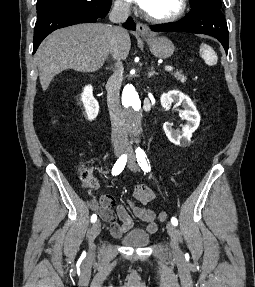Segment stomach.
Instances as JSON below:
<instances>
[{"mask_svg":"<svg viewBox=\"0 0 255 287\" xmlns=\"http://www.w3.org/2000/svg\"><path fill=\"white\" fill-rule=\"evenodd\" d=\"M143 40L147 42L151 54L156 56V58H160V60H166V58H170V56L174 54V44H172L168 38H164V36H161V38L147 36V38H143Z\"/></svg>","mask_w":255,"mask_h":287,"instance_id":"1","label":"stomach"}]
</instances>
